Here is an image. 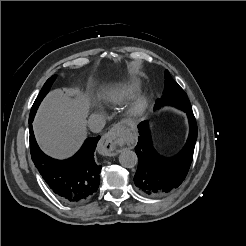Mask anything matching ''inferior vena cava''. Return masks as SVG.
<instances>
[{
    "mask_svg": "<svg viewBox=\"0 0 246 246\" xmlns=\"http://www.w3.org/2000/svg\"><path fill=\"white\" fill-rule=\"evenodd\" d=\"M105 126V118L101 114H93L88 119V127L94 133H99Z\"/></svg>",
    "mask_w": 246,
    "mask_h": 246,
    "instance_id": "inferior-vena-cava-1",
    "label": "inferior vena cava"
}]
</instances>
